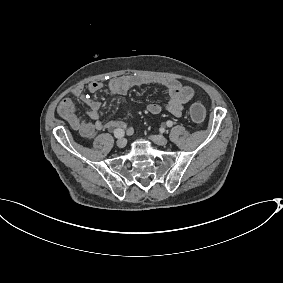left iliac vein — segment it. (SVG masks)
Returning <instances> with one entry per match:
<instances>
[{"label":"left iliac vein","mask_w":283,"mask_h":283,"mask_svg":"<svg viewBox=\"0 0 283 283\" xmlns=\"http://www.w3.org/2000/svg\"><path fill=\"white\" fill-rule=\"evenodd\" d=\"M150 139L158 145H166L168 140L162 135H152Z\"/></svg>","instance_id":"obj_1"}]
</instances>
